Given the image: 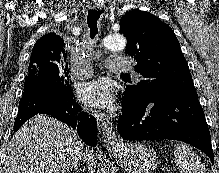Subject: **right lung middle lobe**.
<instances>
[{"mask_svg": "<svg viewBox=\"0 0 219 173\" xmlns=\"http://www.w3.org/2000/svg\"><path fill=\"white\" fill-rule=\"evenodd\" d=\"M67 76V71L59 64L51 62L29 63L28 73L25 76L24 88L27 90L39 80L46 79L55 82L64 93H70L72 92V89L69 85Z\"/></svg>", "mask_w": 219, "mask_h": 173, "instance_id": "right-lung-middle-lobe-1", "label": "right lung middle lobe"}]
</instances>
